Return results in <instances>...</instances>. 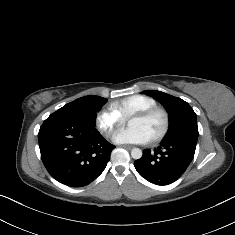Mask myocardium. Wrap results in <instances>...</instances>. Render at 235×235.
<instances>
[{"label": "myocardium", "instance_id": "f54148a6", "mask_svg": "<svg viewBox=\"0 0 235 235\" xmlns=\"http://www.w3.org/2000/svg\"><path fill=\"white\" fill-rule=\"evenodd\" d=\"M155 114H159L163 117L164 126L158 135H156L151 140H149L150 144H156V143L160 142L169 133L170 126H171V119H170L169 113L165 109L155 106V107L149 108L147 110L138 112V113L134 114V116H133L134 118L149 119L152 116H154Z\"/></svg>", "mask_w": 235, "mask_h": 235}]
</instances>
